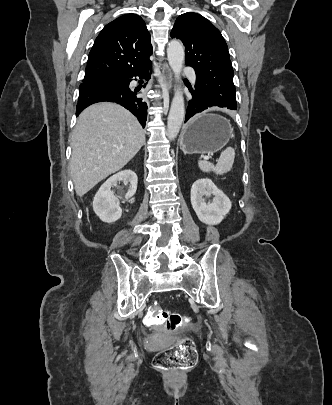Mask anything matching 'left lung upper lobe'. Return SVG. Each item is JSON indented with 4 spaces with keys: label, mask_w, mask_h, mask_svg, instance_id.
Returning <instances> with one entry per match:
<instances>
[{
    "label": "left lung upper lobe",
    "mask_w": 332,
    "mask_h": 405,
    "mask_svg": "<svg viewBox=\"0 0 332 405\" xmlns=\"http://www.w3.org/2000/svg\"><path fill=\"white\" fill-rule=\"evenodd\" d=\"M171 37L185 46L186 65L196 73L194 91L203 94L209 105L236 110L233 68L219 30L201 15L187 12L176 19Z\"/></svg>",
    "instance_id": "obj_1"
}]
</instances>
